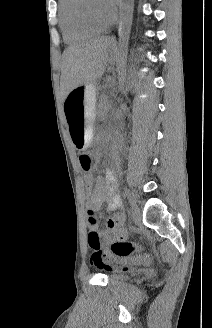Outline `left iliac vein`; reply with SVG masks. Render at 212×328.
<instances>
[{"label":"left iliac vein","mask_w":212,"mask_h":328,"mask_svg":"<svg viewBox=\"0 0 212 328\" xmlns=\"http://www.w3.org/2000/svg\"><path fill=\"white\" fill-rule=\"evenodd\" d=\"M131 216L135 222L141 220V210L135 201L131 203Z\"/></svg>","instance_id":"left-iliac-vein-1"}]
</instances>
